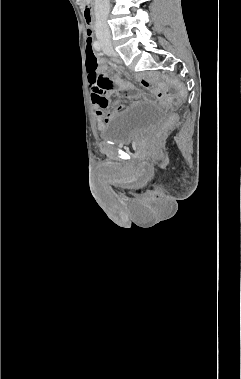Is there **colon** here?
<instances>
[{"mask_svg": "<svg viewBox=\"0 0 241 379\" xmlns=\"http://www.w3.org/2000/svg\"><path fill=\"white\" fill-rule=\"evenodd\" d=\"M90 39V38H88ZM86 66H87V72L86 75L88 77V82H90V89H94L97 94L103 95L105 91L109 89H113V82L111 80L103 78L99 72H98V58L96 53L93 51L91 41L87 40V48H86ZM185 96V91L183 88H179L178 90V98L181 100ZM159 99L165 103L168 104L172 99V94L169 92L160 93L158 95ZM176 122V117L171 116L165 125L163 126L162 130L160 131L159 135L163 134L164 131H166L170 126H172Z\"/></svg>", "mask_w": 241, "mask_h": 379, "instance_id": "1", "label": "colon"}]
</instances>
